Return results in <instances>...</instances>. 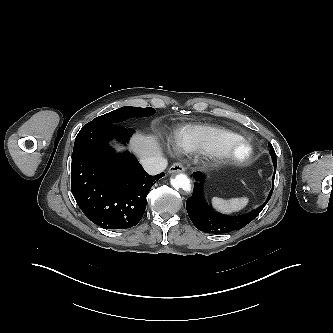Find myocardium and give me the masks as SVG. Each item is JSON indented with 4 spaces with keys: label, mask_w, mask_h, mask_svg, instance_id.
<instances>
[{
    "label": "myocardium",
    "mask_w": 333,
    "mask_h": 333,
    "mask_svg": "<svg viewBox=\"0 0 333 333\" xmlns=\"http://www.w3.org/2000/svg\"><path fill=\"white\" fill-rule=\"evenodd\" d=\"M212 156L234 164L246 162L253 154L251 145L242 138L220 142L212 151Z\"/></svg>",
    "instance_id": "obj_1"
}]
</instances>
